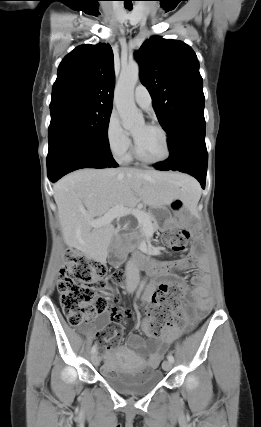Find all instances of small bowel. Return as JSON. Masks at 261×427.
<instances>
[{"label":"small bowel","instance_id":"small-bowel-1","mask_svg":"<svg viewBox=\"0 0 261 427\" xmlns=\"http://www.w3.org/2000/svg\"><path fill=\"white\" fill-rule=\"evenodd\" d=\"M196 264V257L192 254L185 258L178 259L170 262H160L157 264L158 273L155 279L148 285L145 293L142 296L144 303H149L152 299L156 289L160 290L169 282L175 279L174 275L170 273L173 268H192ZM193 290L191 296L193 299V309L185 313L184 323L182 327L174 324L166 329L161 336L146 342L142 337L137 334H130L128 337V344L134 350L136 355H130L129 360L135 364L142 372L155 369L160 364V361L170 347V345L183 333L190 331L209 311L211 306L210 291L208 278L204 273H199L191 280ZM107 314L100 317L98 320V342L102 349H109V346L115 345L122 336L121 327L113 328L109 326V322L117 323L122 318L129 316V312L120 311L115 307L113 302L106 304ZM136 325L147 331L148 322L137 318ZM87 335L94 334L93 327L83 328ZM147 356V358H145Z\"/></svg>","mask_w":261,"mask_h":427}]
</instances>
